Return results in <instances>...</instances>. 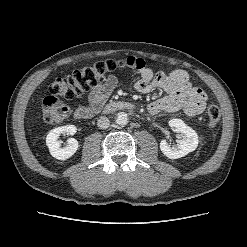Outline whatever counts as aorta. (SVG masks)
<instances>
[{
    "mask_svg": "<svg viewBox=\"0 0 247 247\" xmlns=\"http://www.w3.org/2000/svg\"><path fill=\"white\" fill-rule=\"evenodd\" d=\"M116 124L125 126L128 124V115L125 112H119L115 120Z\"/></svg>",
    "mask_w": 247,
    "mask_h": 247,
    "instance_id": "762f6f07",
    "label": "aorta"
}]
</instances>
